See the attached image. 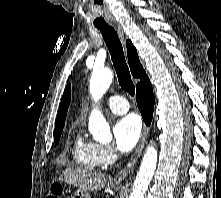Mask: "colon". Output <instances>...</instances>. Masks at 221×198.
I'll list each match as a JSON object with an SVG mask.
<instances>
[{
	"instance_id": "obj_1",
	"label": "colon",
	"mask_w": 221,
	"mask_h": 198,
	"mask_svg": "<svg viewBox=\"0 0 221 198\" xmlns=\"http://www.w3.org/2000/svg\"><path fill=\"white\" fill-rule=\"evenodd\" d=\"M47 198H64L61 187L58 184L52 185Z\"/></svg>"
}]
</instances>
